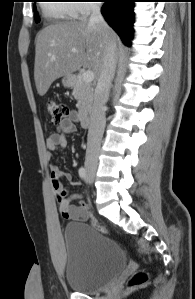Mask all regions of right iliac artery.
Wrapping results in <instances>:
<instances>
[{
    "mask_svg": "<svg viewBox=\"0 0 195 299\" xmlns=\"http://www.w3.org/2000/svg\"><path fill=\"white\" fill-rule=\"evenodd\" d=\"M78 172H79V176L81 177V179L86 178V169L84 167H81Z\"/></svg>",
    "mask_w": 195,
    "mask_h": 299,
    "instance_id": "right-iliac-artery-1",
    "label": "right iliac artery"
}]
</instances>
